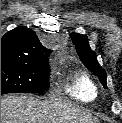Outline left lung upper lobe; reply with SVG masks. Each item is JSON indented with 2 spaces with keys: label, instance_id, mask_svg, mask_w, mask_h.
Segmentation results:
<instances>
[{
  "label": "left lung upper lobe",
  "instance_id": "obj_1",
  "mask_svg": "<svg viewBox=\"0 0 122 123\" xmlns=\"http://www.w3.org/2000/svg\"><path fill=\"white\" fill-rule=\"evenodd\" d=\"M70 37L75 45L80 60L89 70L93 71L94 75L99 77V80L103 86L107 88L106 72L100 67L99 63L97 62L95 52L92 51L89 47L87 36L78 33H71Z\"/></svg>",
  "mask_w": 122,
  "mask_h": 123
}]
</instances>
